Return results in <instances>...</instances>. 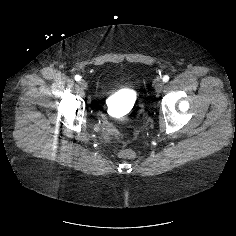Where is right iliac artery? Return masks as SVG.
<instances>
[{"label":"right iliac artery","mask_w":236,"mask_h":236,"mask_svg":"<svg viewBox=\"0 0 236 236\" xmlns=\"http://www.w3.org/2000/svg\"><path fill=\"white\" fill-rule=\"evenodd\" d=\"M74 79H75L76 81H80L81 77H80L79 75H75Z\"/></svg>","instance_id":"right-iliac-artery-1"}]
</instances>
